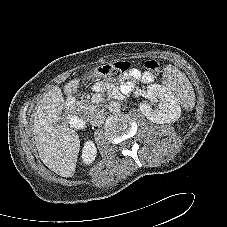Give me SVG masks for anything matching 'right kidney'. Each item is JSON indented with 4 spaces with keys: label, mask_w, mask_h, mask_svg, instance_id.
<instances>
[{
    "label": "right kidney",
    "mask_w": 227,
    "mask_h": 227,
    "mask_svg": "<svg viewBox=\"0 0 227 227\" xmlns=\"http://www.w3.org/2000/svg\"><path fill=\"white\" fill-rule=\"evenodd\" d=\"M96 154H97V149L93 141L85 142L82 150V159L84 164L86 165L91 164L95 160Z\"/></svg>",
    "instance_id": "ca27d5eb"
}]
</instances>
